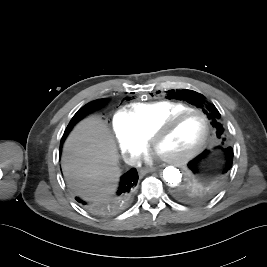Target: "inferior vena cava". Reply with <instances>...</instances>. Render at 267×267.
<instances>
[{
  "instance_id": "1",
  "label": "inferior vena cava",
  "mask_w": 267,
  "mask_h": 267,
  "mask_svg": "<svg viewBox=\"0 0 267 267\" xmlns=\"http://www.w3.org/2000/svg\"><path fill=\"white\" fill-rule=\"evenodd\" d=\"M125 162L131 166H137L138 167L141 165V161L135 156L125 157Z\"/></svg>"
}]
</instances>
